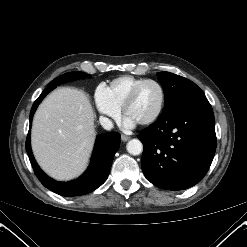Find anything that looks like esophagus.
Wrapping results in <instances>:
<instances>
[{
  "instance_id": "esophagus-1",
  "label": "esophagus",
  "mask_w": 247,
  "mask_h": 247,
  "mask_svg": "<svg viewBox=\"0 0 247 247\" xmlns=\"http://www.w3.org/2000/svg\"><path fill=\"white\" fill-rule=\"evenodd\" d=\"M129 139H130L129 136H127V135H121V140H122L123 142H126V141H128Z\"/></svg>"
}]
</instances>
